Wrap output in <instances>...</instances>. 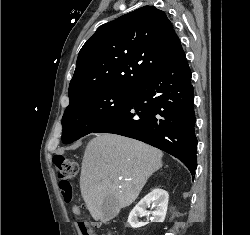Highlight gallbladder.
Returning a JSON list of instances; mask_svg holds the SVG:
<instances>
[{
  "label": "gallbladder",
  "mask_w": 250,
  "mask_h": 235,
  "mask_svg": "<svg viewBox=\"0 0 250 235\" xmlns=\"http://www.w3.org/2000/svg\"><path fill=\"white\" fill-rule=\"evenodd\" d=\"M120 211L118 200L114 196L105 198L102 204V221L107 222L115 218Z\"/></svg>",
  "instance_id": "gallbladder-1"
}]
</instances>
